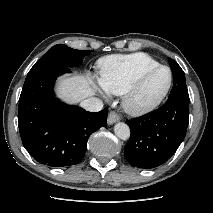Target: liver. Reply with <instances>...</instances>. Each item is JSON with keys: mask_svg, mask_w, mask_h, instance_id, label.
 <instances>
[{"mask_svg": "<svg viewBox=\"0 0 213 213\" xmlns=\"http://www.w3.org/2000/svg\"><path fill=\"white\" fill-rule=\"evenodd\" d=\"M57 95L70 103H78L81 100L93 96L95 87L89 77L84 75L64 76L59 79Z\"/></svg>", "mask_w": 213, "mask_h": 213, "instance_id": "liver-1", "label": "liver"}]
</instances>
